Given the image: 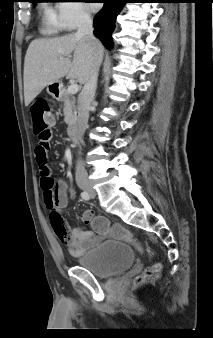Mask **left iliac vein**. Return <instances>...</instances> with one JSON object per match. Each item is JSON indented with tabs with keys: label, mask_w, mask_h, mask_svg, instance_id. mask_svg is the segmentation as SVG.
<instances>
[{
	"label": "left iliac vein",
	"mask_w": 213,
	"mask_h": 338,
	"mask_svg": "<svg viewBox=\"0 0 213 338\" xmlns=\"http://www.w3.org/2000/svg\"><path fill=\"white\" fill-rule=\"evenodd\" d=\"M90 196L93 198L95 197V193L93 191L90 192Z\"/></svg>",
	"instance_id": "obj_1"
}]
</instances>
